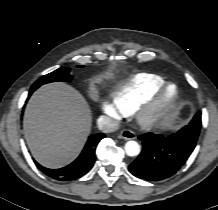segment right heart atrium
<instances>
[{"instance_id":"d8ad5b80","label":"right heart atrium","mask_w":218,"mask_h":210,"mask_svg":"<svg viewBox=\"0 0 218 210\" xmlns=\"http://www.w3.org/2000/svg\"><path fill=\"white\" fill-rule=\"evenodd\" d=\"M102 110L109 115L112 118H118L119 117V108L115 104V102L111 100H103L101 102Z\"/></svg>"}]
</instances>
